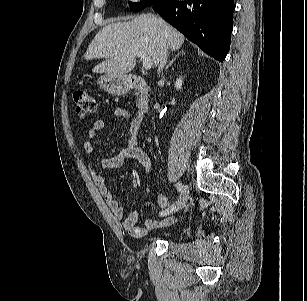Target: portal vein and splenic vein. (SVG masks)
<instances>
[{
	"label": "portal vein and splenic vein",
	"instance_id": "obj_1",
	"mask_svg": "<svg viewBox=\"0 0 307 301\" xmlns=\"http://www.w3.org/2000/svg\"><path fill=\"white\" fill-rule=\"evenodd\" d=\"M136 56L142 60L144 69L149 70L153 65L152 59L142 52H136Z\"/></svg>",
	"mask_w": 307,
	"mask_h": 301
}]
</instances>
